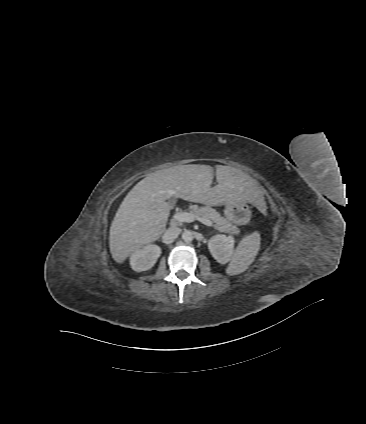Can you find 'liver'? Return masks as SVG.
<instances>
[{
  "mask_svg": "<svg viewBox=\"0 0 366 424\" xmlns=\"http://www.w3.org/2000/svg\"><path fill=\"white\" fill-rule=\"evenodd\" d=\"M213 168L208 165H181L156 171L140 182L122 201L110 227L112 258L123 263L142 246L158 240L166 229L170 198L219 206L232 201L261 205V192L244 172L216 166L218 184L211 187Z\"/></svg>",
  "mask_w": 366,
  "mask_h": 424,
  "instance_id": "obj_1",
  "label": "liver"
}]
</instances>
